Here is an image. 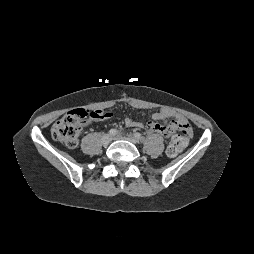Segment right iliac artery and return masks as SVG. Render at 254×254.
I'll return each instance as SVG.
<instances>
[{
  "label": "right iliac artery",
  "mask_w": 254,
  "mask_h": 254,
  "mask_svg": "<svg viewBox=\"0 0 254 254\" xmlns=\"http://www.w3.org/2000/svg\"><path fill=\"white\" fill-rule=\"evenodd\" d=\"M117 133H118V131L116 129H111L109 131V134L112 135V136L116 135Z\"/></svg>",
  "instance_id": "right-iliac-artery-1"
}]
</instances>
